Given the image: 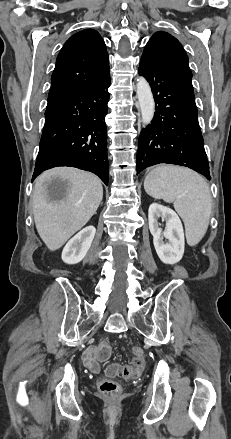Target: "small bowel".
Returning a JSON list of instances; mask_svg holds the SVG:
<instances>
[{"label": "small bowel", "mask_w": 231, "mask_h": 439, "mask_svg": "<svg viewBox=\"0 0 231 439\" xmlns=\"http://www.w3.org/2000/svg\"><path fill=\"white\" fill-rule=\"evenodd\" d=\"M98 346L94 345L89 347L82 355L84 365L92 371H97L99 369V358L97 357Z\"/></svg>", "instance_id": "obj_1"}]
</instances>
